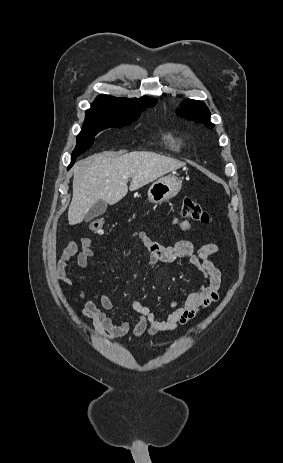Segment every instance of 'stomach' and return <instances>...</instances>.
<instances>
[{"label":"stomach","mask_w":283,"mask_h":463,"mask_svg":"<svg viewBox=\"0 0 283 463\" xmlns=\"http://www.w3.org/2000/svg\"><path fill=\"white\" fill-rule=\"evenodd\" d=\"M182 187V181L174 176L162 177L148 189V201L153 204L162 203L175 197Z\"/></svg>","instance_id":"0dacf381"}]
</instances>
